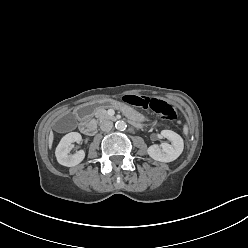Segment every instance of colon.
<instances>
[{"label":"colon","instance_id":"5ec220e1","mask_svg":"<svg viewBox=\"0 0 248 248\" xmlns=\"http://www.w3.org/2000/svg\"><path fill=\"white\" fill-rule=\"evenodd\" d=\"M129 103L137 105L147 111H152L161 118L169 121H174L177 118V113L174 105L167 103L158 98L148 97H129Z\"/></svg>","mask_w":248,"mask_h":248}]
</instances>
